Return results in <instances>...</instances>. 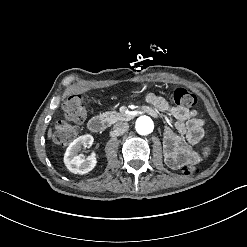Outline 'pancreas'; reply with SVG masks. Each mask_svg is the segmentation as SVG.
<instances>
[{"label": "pancreas", "instance_id": "obj_1", "mask_svg": "<svg viewBox=\"0 0 247 247\" xmlns=\"http://www.w3.org/2000/svg\"><path fill=\"white\" fill-rule=\"evenodd\" d=\"M100 116L103 119L109 121L110 123H115L117 121H123V120H126L129 118L124 113H117V112H110V111H107L105 113H101Z\"/></svg>", "mask_w": 247, "mask_h": 247}]
</instances>
